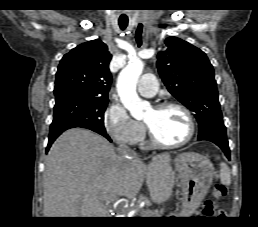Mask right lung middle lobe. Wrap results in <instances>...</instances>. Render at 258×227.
Segmentation results:
<instances>
[{
  "instance_id": "1",
  "label": "right lung middle lobe",
  "mask_w": 258,
  "mask_h": 227,
  "mask_svg": "<svg viewBox=\"0 0 258 227\" xmlns=\"http://www.w3.org/2000/svg\"><path fill=\"white\" fill-rule=\"evenodd\" d=\"M55 101L53 122L63 121L95 132H105L103 120L108 99L67 93L56 96Z\"/></svg>"
}]
</instances>
